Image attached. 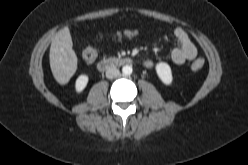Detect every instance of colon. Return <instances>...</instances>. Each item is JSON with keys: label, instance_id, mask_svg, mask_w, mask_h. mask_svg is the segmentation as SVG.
Instances as JSON below:
<instances>
[{"label": "colon", "instance_id": "5ec220e1", "mask_svg": "<svg viewBox=\"0 0 248 165\" xmlns=\"http://www.w3.org/2000/svg\"><path fill=\"white\" fill-rule=\"evenodd\" d=\"M82 57L84 61L91 63L97 58V51L93 47H87L83 53ZM204 61L202 59H197L192 63V69L194 71H199L203 68Z\"/></svg>", "mask_w": 248, "mask_h": 165}]
</instances>
